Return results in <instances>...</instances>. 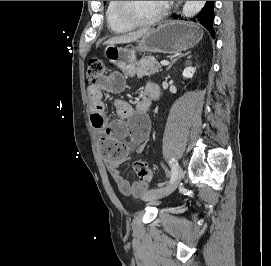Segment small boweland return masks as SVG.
Wrapping results in <instances>:
<instances>
[{
	"mask_svg": "<svg viewBox=\"0 0 271 266\" xmlns=\"http://www.w3.org/2000/svg\"><path fill=\"white\" fill-rule=\"evenodd\" d=\"M154 84L146 86L148 88ZM125 88L123 75L116 70L91 80L88 93L90 97L89 116L92 126L100 133L101 151L107 170L124 194H141L146 189L143 182L130 184L120 173L119 167L128 159L132 145L142 146L149 135L150 125L144 116L150 106L148 97L140 100L135 109L126 101L115 100L114 106L119 119L109 121L103 92L118 93ZM130 138L127 141L126 138Z\"/></svg>",
	"mask_w": 271,
	"mask_h": 266,
	"instance_id": "obj_1",
	"label": "small bowel"
}]
</instances>
